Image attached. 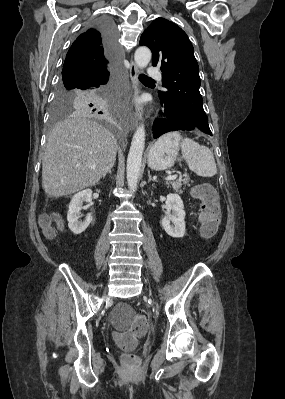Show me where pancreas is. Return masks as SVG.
<instances>
[{
	"label": "pancreas",
	"mask_w": 285,
	"mask_h": 399,
	"mask_svg": "<svg viewBox=\"0 0 285 399\" xmlns=\"http://www.w3.org/2000/svg\"><path fill=\"white\" fill-rule=\"evenodd\" d=\"M168 185H170L173 188V190H175L176 192L181 193L182 185H189V180L188 179H179L176 181L169 182Z\"/></svg>",
	"instance_id": "obj_1"
}]
</instances>
